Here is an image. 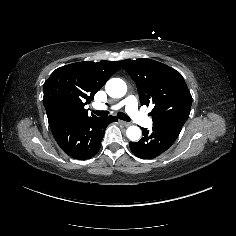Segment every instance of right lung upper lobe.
<instances>
[{
	"mask_svg": "<svg viewBox=\"0 0 236 236\" xmlns=\"http://www.w3.org/2000/svg\"><path fill=\"white\" fill-rule=\"evenodd\" d=\"M120 66V61L77 62L54 70L43 97L50 127L90 117L84 106Z\"/></svg>",
	"mask_w": 236,
	"mask_h": 236,
	"instance_id": "obj_1",
	"label": "right lung upper lobe"
}]
</instances>
